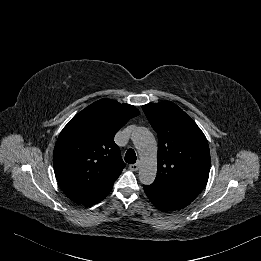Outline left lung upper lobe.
<instances>
[{
	"label": "left lung upper lobe",
	"mask_w": 261,
	"mask_h": 261,
	"mask_svg": "<svg viewBox=\"0 0 261 261\" xmlns=\"http://www.w3.org/2000/svg\"><path fill=\"white\" fill-rule=\"evenodd\" d=\"M142 109L158 135V168L153 183L198 195L210 171L205 135L173 102L149 103Z\"/></svg>",
	"instance_id": "left-lung-upper-lobe-1"
}]
</instances>
